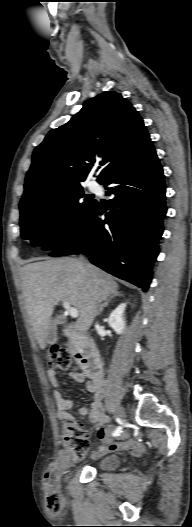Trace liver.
<instances>
[{
	"instance_id": "liver-1",
	"label": "liver",
	"mask_w": 192,
	"mask_h": 527,
	"mask_svg": "<svg viewBox=\"0 0 192 527\" xmlns=\"http://www.w3.org/2000/svg\"><path fill=\"white\" fill-rule=\"evenodd\" d=\"M25 307L42 350L54 307L68 301L79 313L70 327L87 332L102 301L118 292L117 282L88 261L71 257L24 265L20 270Z\"/></svg>"
}]
</instances>
